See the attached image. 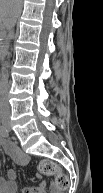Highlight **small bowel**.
<instances>
[{"label":"small bowel","mask_w":103,"mask_h":193,"mask_svg":"<svg viewBox=\"0 0 103 193\" xmlns=\"http://www.w3.org/2000/svg\"><path fill=\"white\" fill-rule=\"evenodd\" d=\"M2 145L5 151L10 155L13 161L18 165H26L29 162V156L20 150L14 143L8 139L2 140ZM16 172L13 169H8L5 173V178L1 179L0 193H17V185L15 182ZM22 193H47L46 185L41 183L38 187H27L22 190ZM50 193H61V190L54 184H51Z\"/></svg>","instance_id":"c3829d8e"}]
</instances>
